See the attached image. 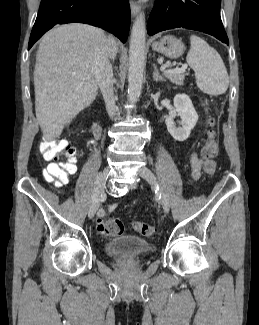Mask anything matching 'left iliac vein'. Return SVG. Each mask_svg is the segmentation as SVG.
Listing matches in <instances>:
<instances>
[{"label": "left iliac vein", "instance_id": "obj_1", "mask_svg": "<svg viewBox=\"0 0 259 325\" xmlns=\"http://www.w3.org/2000/svg\"><path fill=\"white\" fill-rule=\"evenodd\" d=\"M138 173L150 185H152L153 187H156V185L158 183L157 179H156L154 173L149 168L143 166L139 169ZM161 203H162L164 212L168 213L169 209H170V203H169L167 196L163 192H162V196H161Z\"/></svg>", "mask_w": 259, "mask_h": 325}]
</instances>
